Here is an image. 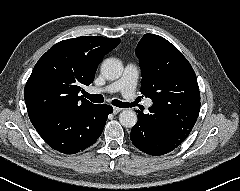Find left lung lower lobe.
Segmentation results:
<instances>
[{
  "mask_svg": "<svg viewBox=\"0 0 240 191\" xmlns=\"http://www.w3.org/2000/svg\"><path fill=\"white\" fill-rule=\"evenodd\" d=\"M197 118L196 113H185L171 119L160 118L138 110V122L131 130L130 139L136 148L149 155H163L186 139Z\"/></svg>",
  "mask_w": 240,
  "mask_h": 191,
  "instance_id": "1",
  "label": "left lung lower lobe"
}]
</instances>
